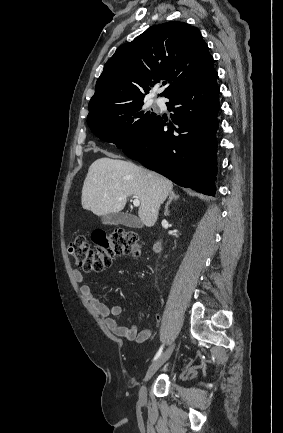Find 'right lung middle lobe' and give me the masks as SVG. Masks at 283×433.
Instances as JSON below:
<instances>
[{"instance_id": "obj_1", "label": "right lung middle lobe", "mask_w": 283, "mask_h": 433, "mask_svg": "<svg viewBox=\"0 0 283 433\" xmlns=\"http://www.w3.org/2000/svg\"><path fill=\"white\" fill-rule=\"evenodd\" d=\"M143 106V100L113 106L87 116V123L97 137L124 151L142 137L157 115Z\"/></svg>"}]
</instances>
